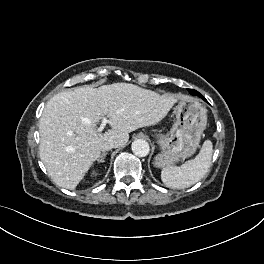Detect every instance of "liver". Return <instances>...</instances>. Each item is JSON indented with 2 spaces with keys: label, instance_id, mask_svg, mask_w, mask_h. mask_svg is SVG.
I'll list each match as a JSON object with an SVG mask.
<instances>
[{
  "label": "liver",
  "instance_id": "6515ba94",
  "mask_svg": "<svg viewBox=\"0 0 264 264\" xmlns=\"http://www.w3.org/2000/svg\"><path fill=\"white\" fill-rule=\"evenodd\" d=\"M176 102L175 95L128 83L58 93L40 118V159L58 186L74 190L100 157L103 142L126 145L130 132L158 124ZM105 115L111 129L101 133L96 126Z\"/></svg>",
  "mask_w": 264,
  "mask_h": 264
}]
</instances>
